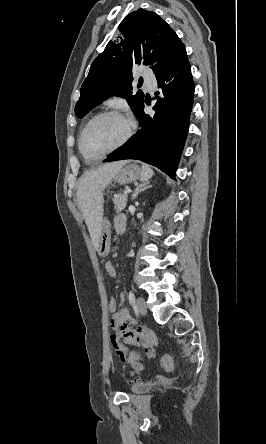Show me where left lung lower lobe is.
Wrapping results in <instances>:
<instances>
[{
    "label": "left lung lower lobe",
    "mask_w": 266,
    "mask_h": 444,
    "mask_svg": "<svg viewBox=\"0 0 266 444\" xmlns=\"http://www.w3.org/2000/svg\"><path fill=\"white\" fill-rule=\"evenodd\" d=\"M160 91L153 116L138 111L140 129L120 151L105 162L138 159L154 165L175 179L177 165L188 133L194 97L191 67L185 52L174 64L156 76ZM146 102V100H145Z\"/></svg>",
    "instance_id": "1"
}]
</instances>
